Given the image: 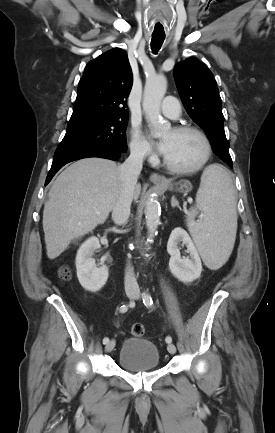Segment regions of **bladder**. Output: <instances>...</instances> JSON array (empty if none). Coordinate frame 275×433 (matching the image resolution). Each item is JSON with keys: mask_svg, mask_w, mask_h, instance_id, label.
<instances>
[{"mask_svg": "<svg viewBox=\"0 0 275 433\" xmlns=\"http://www.w3.org/2000/svg\"><path fill=\"white\" fill-rule=\"evenodd\" d=\"M118 362L121 367L132 373H141L160 367V356L157 346L149 340L132 337L123 341Z\"/></svg>", "mask_w": 275, "mask_h": 433, "instance_id": "obj_1", "label": "bladder"}]
</instances>
